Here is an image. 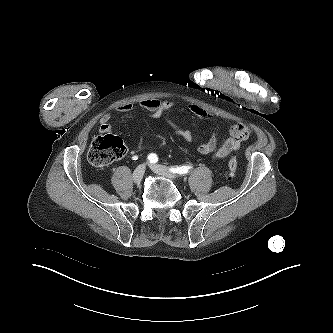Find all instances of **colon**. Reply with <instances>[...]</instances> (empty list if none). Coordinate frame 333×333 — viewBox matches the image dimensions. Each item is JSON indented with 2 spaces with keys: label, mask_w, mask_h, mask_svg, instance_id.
Masks as SVG:
<instances>
[{
  "label": "colon",
  "mask_w": 333,
  "mask_h": 333,
  "mask_svg": "<svg viewBox=\"0 0 333 333\" xmlns=\"http://www.w3.org/2000/svg\"><path fill=\"white\" fill-rule=\"evenodd\" d=\"M126 154V147L121 139L112 135L96 137L88 150V161L96 166L103 167L110 163L121 159ZM237 160L232 157L228 163V179H232L236 175Z\"/></svg>",
  "instance_id": "obj_1"
}]
</instances>
